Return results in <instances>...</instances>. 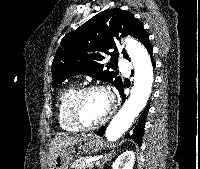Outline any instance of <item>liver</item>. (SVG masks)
I'll return each mask as SVG.
<instances>
[{
    "label": "liver",
    "mask_w": 200,
    "mask_h": 169,
    "mask_svg": "<svg viewBox=\"0 0 200 169\" xmlns=\"http://www.w3.org/2000/svg\"><path fill=\"white\" fill-rule=\"evenodd\" d=\"M86 136H66V135H58L55 136L49 147V162L54 158L56 153L62 148L77 144L85 139Z\"/></svg>",
    "instance_id": "liver-1"
}]
</instances>
